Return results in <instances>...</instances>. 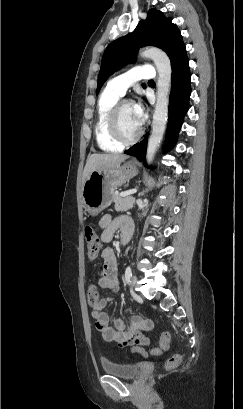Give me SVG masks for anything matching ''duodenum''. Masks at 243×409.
Wrapping results in <instances>:
<instances>
[{"instance_id": "duodenum-1", "label": "duodenum", "mask_w": 243, "mask_h": 409, "mask_svg": "<svg viewBox=\"0 0 243 409\" xmlns=\"http://www.w3.org/2000/svg\"><path fill=\"white\" fill-rule=\"evenodd\" d=\"M132 232L130 230H126L122 234V244L127 246L131 240Z\"/></svg>"}]
</instances>
